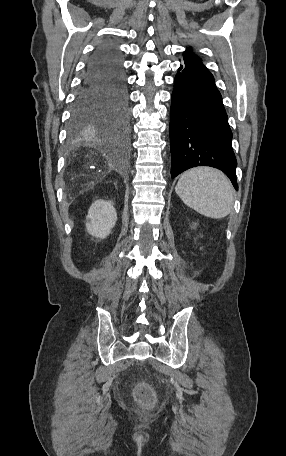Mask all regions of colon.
I'll use <instances>...</instances> for the list:
<instances>
[{
	"label": "colon",
	"mask_w": 286,
	"mask_h": 456,
	"mask_svg": "<svg viewBox=\"0 0 286 456\" xmlns=\"http://www.w3.org/2000/svg\"><path fill=\"white\" fill-rule=\"evenodd\" d=\"M135 395L138 401L145 406H150L154 402V391L147 384H138L135 387Z\"/></svg>",
	"instance_id": "colon-1"
}]
</instances>
